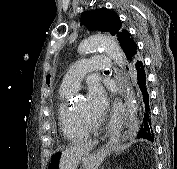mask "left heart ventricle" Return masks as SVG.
Wrapping results in <instances>:
<instances>
[{"label": "left heart ventricle", "instance_id": "1", "mask_svg": "<svg viewBox=\"0 0 177 169\" xmlns=\"http://www.w3.org/2000/svg\"><path fill=\"white\" fill-rule=\"evenodd\" d=\"M74 109L90 122H97L102 117L101 113L94 111L90 107L87 97H81Z\"/></svg>", "mask_w": 177, "mask_h": 169}]
</instances>
